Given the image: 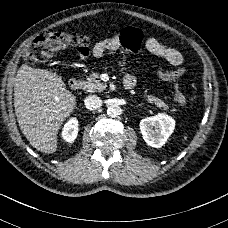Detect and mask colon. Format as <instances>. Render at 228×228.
Returning a JSON list of instances; mask_svg holds the SVG:
<instances>
[{"mask_svg":"<svg viewBox=\"0 0 228 228\" xmlns=\"http://www.w3.org/2000/svg\"><path fill=\"white\" fill-rule=\"evenodd\" d=\"M91 49V41L87 36L73 32L54 31L35 40L27 51V60L31 64H37L53 57L62 50H77L83 55H88ZM173 96L177 103L184 105L187 102L181 88L174 86Z\"/></svg>","mask_w":228,"mask_h":228,"instance_id":"5ec220e1","label":"colon"}]
</instances>
